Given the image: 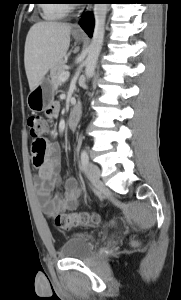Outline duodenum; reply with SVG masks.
<instances>
[{"instance_id":"410a0bca","label":"duodenum","mask_w":181,"mask_h":300,"mask_svg":"<svg viewBox=\"0 0 181 300\" xmlns=\"http://www.w3.org/2000/svg\"><path fill=\"white\" fill-rule=\"evenodd\" d=\"M80 113H81V110H80L79 105H77V104L74 105L70 112L69 120H68V125H69L70 130L76 129L78 122H79Z\"/></svg>"}]
</instances>
